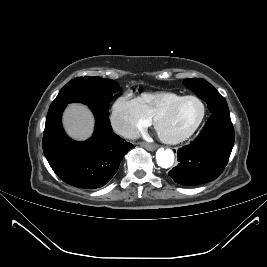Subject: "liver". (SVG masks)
I'll list each match as a JSON object with an SVG mask.
<instances>
[{
	"mask_svg": "<svg viewBox=\"0 0 267 267\" xmlns=\"http://www.w3.org/2000/svg\"><path fill=\"white\" fill-rule=\"evenodd\" d=\"M63 126L71 138L83 141L93 133L94 116L86 105L73 103L64 111Z\"/></svg>",
	"mask_w": 267,
	"mask_h": 267,
	"instance_id": "liver-1",
	"label": "liver"
}]
</instances>
